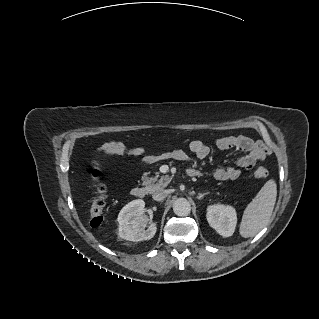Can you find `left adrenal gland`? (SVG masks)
I'll return each mask as SVG.
<instances>
[{"label":"left adrenal gland","instance_id":"obj_1","mask_svg":"<svg viewBox=\"0 0 319 319\" xmlns=\"http://www.w3.org/2000/svg\"><path fill=\"white\" fill-rule=\"evenodd\" d=\"M209 194V192L206 193H198L197 199L201 200L205 195Z\"/></svg>","mask_w":319,"mask_h":319}]
</instances>
